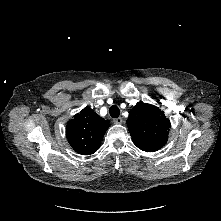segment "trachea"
I'll use <instances>...</instances> for the list:
<instances>
[{"mask_svg":"<svg viewBox=\"0 0 221 221\" xmlns=\"http://www.w3.org/2000/svg\"><path fill=\"white\" fill-rule=\"evenodd\" d=\"M109 114L112 118H118L120 115V110L118 106L112 105L109 109Z\"/></svg>","mask_w":221,"mask_h":221,"instance_id":"trachea-1","label":"trachea"}]
</instances>
